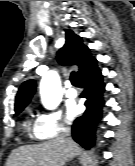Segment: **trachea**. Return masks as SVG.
<instances>
[{"instance_id": "trachea-1", "label": "trachea", "mask_w": 135, "mask_h": 166, "mask_svg": "<svg viewBox=\"0 0 135 166\" xmlns=\"http://www.w3.org/2000/svg\"><path fill=\"white\" fill-rule=\"evenodd\" d=\"M70 81H71L72 85H74V86L80 85L77 74L74 71H72L70 74Z\"/></svg>"}]
</instances>
